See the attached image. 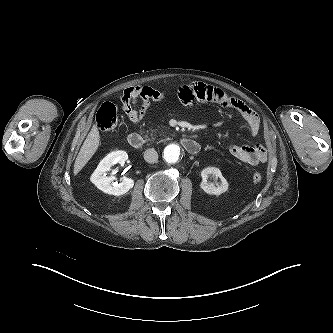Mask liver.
I'll return each instance as SVG.
<instances>
[{
    "label": "liver",
    "instance_id": "liver-1",
    "mask_svg": "<svg viewBox=\"0 0 333 333\" xmlns=\"http://www.w3.org/2000/svg\"><path fill=\"white\" fill-rule=\"evenodd\" d=\"M100 141L99 131L96 125H94L87 135L74 163V175H77L81 169L87 164L91 157L98 149Z\"/></svg>",
    "mask_w": 333,
    "mask_h": 333
}]
</instances>
